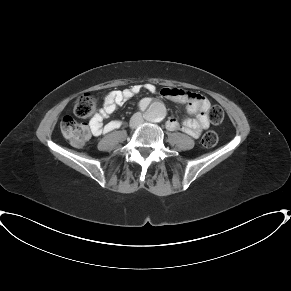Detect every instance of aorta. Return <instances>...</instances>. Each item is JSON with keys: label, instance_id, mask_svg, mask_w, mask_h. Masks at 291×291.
I'll use <instances>...</instances> for the list:
<instances>
[{"label": "aorta", "instance_id": "762f6f07", "mask_svg": "<svg viewBox=\"0 0 291 291\" xmlns=\"http://www.w3.org/2000/svg\"><path fill=\"white\" fill-rule=\"evenodd\" d=\"M147 118L151 121H160L165 116V108L162 104H152L147 110Z\"/></svg>", "mask_w": 291, "mask_h": 291}]
</instances>
